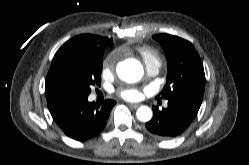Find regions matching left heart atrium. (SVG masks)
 <instances>
[{"mask_svg": "<svg viewBox=\"0 0 249 165\" xmlns=\"http://www.w3.org/2000/svg\"><path fill=\"white\" fill-rule=\"evenodd\" d=\"M118 94L125 100L136 101L142 97L143 91L139 88L126 87L119 89Z\"/></svg>", "mask_w": 249, "mask_h": 165, "instance_id": "39dd6f15", "label": "left heart atrium"}]
</instances>
